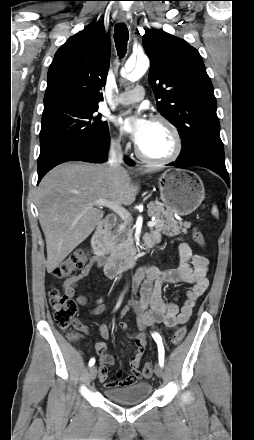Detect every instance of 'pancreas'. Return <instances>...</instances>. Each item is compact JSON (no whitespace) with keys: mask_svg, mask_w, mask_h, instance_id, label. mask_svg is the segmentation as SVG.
Masks as SVG:
<instances>
[{"mask_svg":"<svg viewBox=\"0 0 254 440\" xmlns=\"http://www.w3.org/2000/svg\"><path fill=\"white\" fill-rule=\"evenodd\" d=\"M149 217H155L157 224L155 229L163 234L173 237L181 233L187 234V229L191 227L190 222H178L173 214L163 207L149 203L147 205ZM132 243L131 225L128 222H121L114 231L106 236L105 245L111 257L121 255Z\"/></svg>","mask_w":254,"mask_h":440,"instance_id":"cf45deb5","label":"pancreas"}]
</instances>
